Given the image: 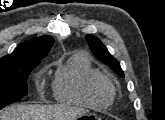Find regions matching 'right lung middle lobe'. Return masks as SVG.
<instances>
[{"instance_id":"dd1d6c3e","label":"right lung middle lobe","mask_w":165,"mask_h":120,"mask_svg":"<svg viewBox=\"0 0 165 120\" xmlns=\"http://www.w3.org/2000/svg\"><path fill=\"white\" fill-rule=\"evenodd\" d=\"M39 63L40 60H31L0 64V109L27 95V78Z\"/></svg>"}]
</instances>
